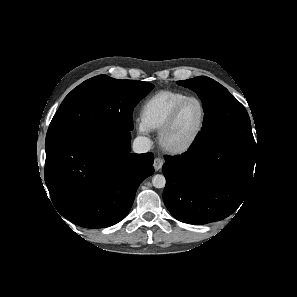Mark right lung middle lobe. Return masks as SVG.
Segmentation results:
<instances>
[{"label":"right lung middle lobe","instance_id":"right-lung-middle-lobe-1","mask_svg":"<svg viewBox=\"0 0 297 297\" xmlns=\"http://www.w3.org/2000/svg\"><path fill=\"white\" fill-rule=\"evenodd\" d=\"M153 87L149 82L106 75L84 81L65 97L54 115L46 135V153L90 134L131 131L133 108Z\"/></svg>","mask_w":297,"mask_h":297}]
</instances>
